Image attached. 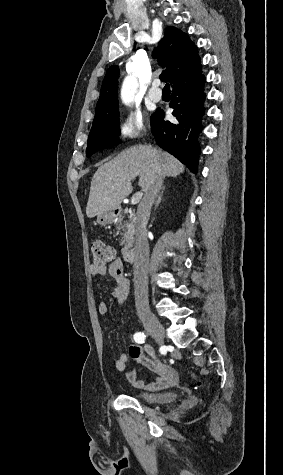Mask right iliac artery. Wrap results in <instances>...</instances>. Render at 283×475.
Returning <instances> with one entry per match:
<instances>
[{
  "instance_id": "82829eb1",
  "label": "right iliac artery",
  "mask_w": 283,
  "mask_h": 475,
  "mask_svg": "<svg viewBox=\"0 0 283 475\" xmlns=\"http://www.w3.org/2000/svg\"><path fill=\"white\" fill-rule=\"evenodd\" d=\"M145 339H146V335L144 333L138 332L134 334V340L137 343H144Z\"/></svg>"
}]
</instances>
